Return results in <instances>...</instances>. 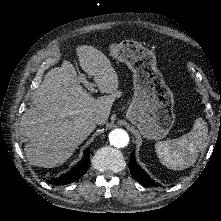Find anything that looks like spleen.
I'll return each instance as SVG.
<instances>
[{
  "label": "spleen",
  "instance_id": "3e777b00",
  "mask_svg": "<svg viewBox=\"0 0 221 221\" xmlns=\"http://www.w3.org/2000/svg\"><path fill=\"white\" fill-rule=\"evenodd\" d=\"M208 133V123L202 117H198L192 130L187 134L156 144L160 162L165 167L177 171L194 166L206 145Z\"/></svg>",
  "mask_w": 221,
  "mask_h": 221
}]
</instances>
